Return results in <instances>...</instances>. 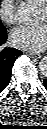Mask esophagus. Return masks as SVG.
I'll use <instances>...</instances> for the list:
<instances>
[{"label":"esophagus","instance_id":"obj_1","mask_svg":"<svg viewBox=\"0 0 47 129\" xmlns=\"http://www.w3.org/2000/svg\"><path fill=\"white\" fill-rule=\"evenodd\" d=\"M26 54L29 55L32 58H35V59H40L41 58L40 54H34V53H31V52H26Z\"/></svg>","mask_w":47,"mask_h":129}]
</instances>
